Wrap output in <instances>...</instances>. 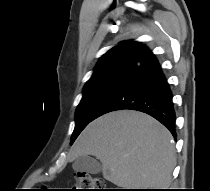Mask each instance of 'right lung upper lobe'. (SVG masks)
<instances>
[{
    "label": "right lung upper lobe",
    "instance_id": "1",
    "mask_svg": "<svg viewBox=\"0 0 210 191\" xmlns=\"http://www.w3.org/2000/svg\"><path fill=\"white\" fill-rule=\"evenodd\" d=\"M141 46L142 43L132 40L120 42L119 45L115 46L101 57L96 68L118 56L128 55L132 57Z\"/></svg>",
    "mask_w": 210,
    "mask_h": 191
}]
</instances>
